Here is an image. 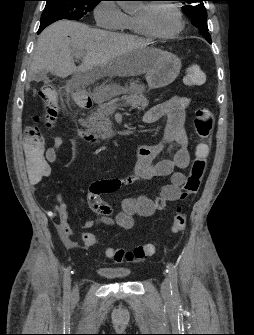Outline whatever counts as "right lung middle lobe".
Masks as SVG:
<instances>
[{"label": "right lung middle lobe", "instance_id": "right-lung-middle-lobe-1", "mask_svg": "<svg viewBox=\"0 0 254 335\" xmlns=\"http://www.w3.org/2000/svg\"><path fill=\"white\" fill-rule=\"evenodd\" d=\"M41 23L61 19L78 20L90 12L100 0H45Z\"/></svg>", "mask_w": 254, "mask_h": 335}]
</instances>
